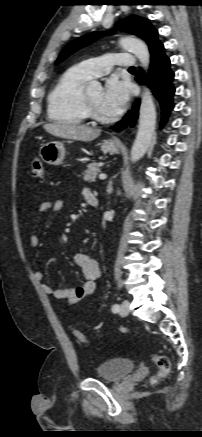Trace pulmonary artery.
I'll use <instances>...</instances> for the list:
<instances>
[{
	"label": "pulmonary artery",
	"instance_id": "pulmonary-artery-1",
	"mask_svg": "<svg viewBox=\"0 0 202 437\" xmlns=\"http://www.w3.org/2000/svg\"><path fill=\"white\" fill-rule=\"evenodd\" d=\"M114 66L129 69L135 66V59L130 53H112L84 60L77 65L88 78L103 76Z\"/></svg>",
	"mask_w": 202,
	"mask_h": 437
}]
</instances>
